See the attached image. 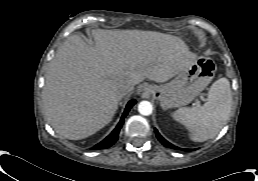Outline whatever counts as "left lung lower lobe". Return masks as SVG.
<instances>
[{
    "mask_svg": "<svg viewBox=\"0 0 258 181\" xmlns=\"http://www.w3.org/2000/svg\"><path fill=\"white\" fill-rule=\"evenodd\" d=\"M156 136L158 138V140L165 146L168 148H172V149H176V150H180V148L174 146L173 144L169 143L167 140H165L157 130H155ZM186 150V149H185Z\"/></svg>",
    "mask_w": 258,
    "mask_h": 181,
    "instance_id": "obj_1",
    "label": "left lung lower lobe"
}]
</instances>
